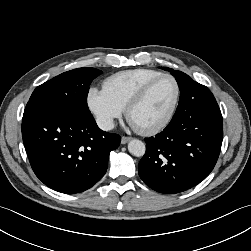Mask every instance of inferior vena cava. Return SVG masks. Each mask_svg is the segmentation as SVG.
<instances>
[{
	"label": "inferior vena cava",
	"instance_id": "602c4592",
	"mask_svg": "<svg viewBox=\"0 0 251 251\" xmlns=\"http://www.w3.org/2000/svg\"><path fill=\"white\" fill-rule=\"evenodd\" d=\"M97 124L100 129L108 131L114 128V123L111 118L101 117L97 119Z\"/></svg>",
	"mask_w": 251,
	"mask_h": 251
}]
</instances>
